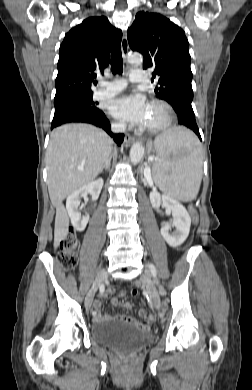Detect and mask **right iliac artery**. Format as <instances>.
I'll return each instance as SVG.
<instances>
[{"instance_id":"1","label":"right iliac artery","mask_w":252,"mask_h":390,"mask_svg":"<svg viewBox=\"0 0 252 390\" xmlns=\"http://www.w3.org/2000/svg\"><path fill=\"white\" fill-rule=\"evenodd\" d=\"M104 289H105L104 283H101L99 292H100V293H103V292H104ZM89 315H90V316H95V315H96V312H95V311H90V312H89Z\"/></svg>"}]
</instances>
